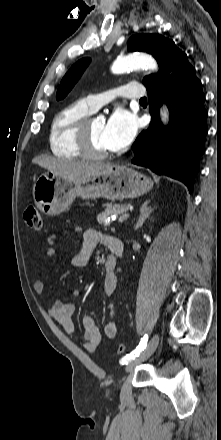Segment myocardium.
Masks as SVG:
<instances>
[{"instance_id": "obj_1", "label": "myocardium", "mask_w": 221, "mask_h": 440, "mask_svg": "<svg viewBox=\"0 0 221 440\" xmlns=\"http://www.w3.org/2000/svg\"><path fill=\"white\" fill-rule=\"evenodd\" d=\"M94 119L95 117L91 114L82 118L76 126L75 137L77 146L84 157L99 160L108 157L110 152L97 150L93 146L89 127L91 121Z\"/></svg>"}]
</instances>
